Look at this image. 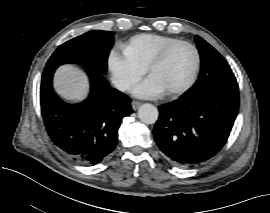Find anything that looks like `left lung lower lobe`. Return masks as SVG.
<instances>
[{"mask_svg":"<svg viewBox=\"0 0 270 213\" xmlns=\"http://www.w3.org/2000/svg\"><path fill=\"white\" fill-rule=\"evenodd\" d=\"M239 109L235 77L193 96L159 106L154 139L178 167L199 165L216 155L227 141Z\"/></svg>","mask_w":270,"mask_h":213,"instance_id":"0a47b994","label":"left lung lower lobe"}]
</instances>
